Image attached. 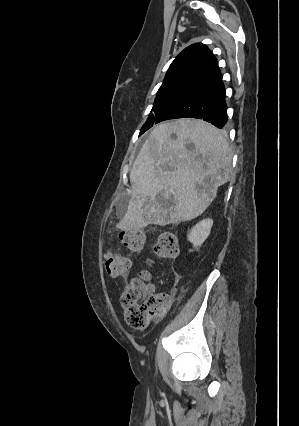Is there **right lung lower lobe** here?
Segmentation results:
<instances>
[{
    "label": "right lung lower lobe",
    "mask_w": 299,
    "mask_h": 426,
    "mask_svg": "<svg viewBox=\"0 0 299 426\" xmlns=\"http://www.w3.org/2000/svg\"><path fill=\"white\" fill-rule=\"evenodd\" d=\"M225 96V88L221 78L212 80L197 86L172 104L162 114L159 122L192 117L203 119L218 128H222L227 122Z\"/></svg>",
    "instance_id": "1"
}]
</instances>
